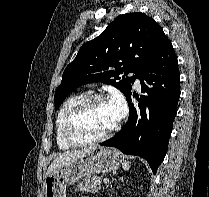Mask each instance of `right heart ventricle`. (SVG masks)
Returning <instances> with one entry per match:
<instances>
[{
    "instance_id": "right-heart-ventricle-1",
    "label": "right heart ventricle",
    "mask_w": 209,
    "mask_h": 197,
    "mask_svg": "<svg viewBox=\"0 0 209 197\" xmlns=\"http://www.w3.org/2000/svg\"><path fill=\"white\" fill-rule=\"evenodd\" d=\"M85 97L84 93H76L68 97L62 104L56 119V141L58 147L62 150H68L73 146L70 145L64 138L63 126L64 120L68 112Z\"/></svg>"
}]
</instances>
